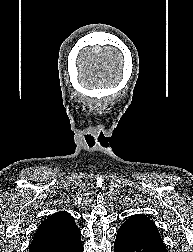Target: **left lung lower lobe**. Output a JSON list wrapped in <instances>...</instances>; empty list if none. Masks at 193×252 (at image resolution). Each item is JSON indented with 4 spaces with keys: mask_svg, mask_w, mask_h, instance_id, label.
<instances>
[{
    "mask_svg": "<svg viewBox=\"0 0 193 252\" xmlns=\"http://www.w3.org/2000/svg\"><path fill=\"white\" fill-rule=\"evenodd\" d=\"M114 252L168 251L157 229L146 226H121L116 235Z\"/></svg>",
    "mask_w": 193,
    "mask_h": 252,
    "instance_id": "1",
    "label": "left lung lower lobe"
}]
</instances>
